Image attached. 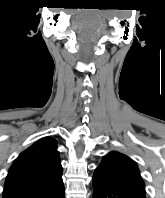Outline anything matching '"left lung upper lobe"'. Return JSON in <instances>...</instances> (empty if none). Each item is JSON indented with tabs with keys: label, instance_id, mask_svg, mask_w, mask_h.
<instances>
[{
	"label": "left lung upper lobe",
	"instance_id": "left-lung-upper-lobe-1",
	"mask_svg": "<svg viewBox=\"0 0 165 198\" xmlns=\"http://www.w3.org/2000/svg\"><path fill=\"white\" fill-rule=\"evenodd\" d=\"M95 171L124 188L145 195V185L136 163L121 153H108Z\"/></svg>",
	"mask_w": 165,
	"mask_h": 198
}]
</instances>
